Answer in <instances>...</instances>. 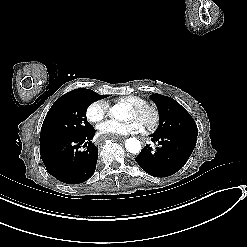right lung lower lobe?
Returning <instances> with one entry per match:
<instances>
[{
    "instance_id": "1",
    "label": "right lung lower lobe",
    "mask_w": 247,
    "mask_h": 247,
    "mask_svg": "<svg viewBox=\"0 0 247 247\" xmlns=\"http://www.w3.org/2000/svg\"><path fill=\"white\" fill-rule=\"evenodd\" d=\"M92 128L79 136L59 137L40 143L42 161L50 175L67 184L88 180L96 169L98 148L91 142ZM86 150L81 152V145Z\"/></svg>"
}]
</instances>
